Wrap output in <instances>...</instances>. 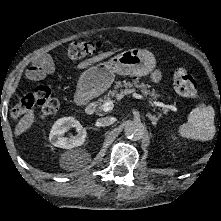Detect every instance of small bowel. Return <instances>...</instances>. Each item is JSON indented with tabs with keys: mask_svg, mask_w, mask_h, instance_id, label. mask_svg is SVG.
I'll return each mask as SVG.
<instances>
[{
	"mask_svg": "<svg viewBox=\"0 0 221 221\" xmlns=\"http://www.w3.org/2000/svg\"><path fill=\"white\" fill-rule=\"evenodd\" d=\"M54 71L55 68L52 59L48 55L41 54L34 59L32 67L27 73V77L30 80H40L51 76ZM153 77L155 80H158L160 74L156 72Z\"/></svg>",
	"mask_w": 221,
	"mask_h": 221,
	"instance_id": "c3829d8e",
	"label": "small bowel"
}]
</instances>
